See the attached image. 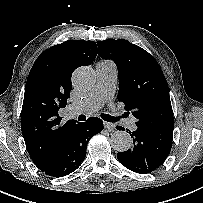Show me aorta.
Returning <instances> with one entry per match:
<instances>
[{
    "mask_svg": "<svg viewBox=\"0 0 203 203\" xmlns=\"http://www.w3.org/2000/svg\"><path fill=\"white\" fill-rule=\"evenodd\" d=\"M95 81L94 70L87 66L77 68L72 76L74 87L81 92L89 90ZM110 143L114 150L124 152L131 148L133 141L128 132L120 130L112 134Z\"/></svg>",
    "mask_w": 203,
    "mask_h": 203,
    "instance_id": "1",
    "label": "aorta"
}]
</instances>
